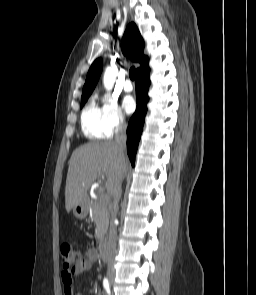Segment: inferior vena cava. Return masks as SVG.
Returning a JSON list of instances; mask_svg holds the SVG:
<instances>
[{"mask_svg":"<svg viewBox=\"0 0 256 295\" xmlns=\"http://www.w3.org/2000/svg\"><path fill=\"white\" fill-rule=\"evenodd\" d=\"M126 123L123 118L120 119L119 124L115 129V143L119 150L120 155V171L117 172V179L111 188L110 195L113 198V204L110 207V227L109 237L107 242V260H108V271L113 272V261L116 253V242H117V230L115 226V218L118 211V203L121 198V181L122 177H126L127 167H130L129 159H125L126 151Z\"/></svg>","mask_w":256,"mask_h":295,"instance_id":"602c4592","label":"inferior vena cava"}]
</instances>
